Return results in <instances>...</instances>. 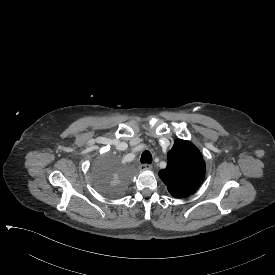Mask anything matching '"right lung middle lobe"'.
Wrapping results in <instances>:
<instances>
[{
	"label": "right lung middle lobe",
	"mask_w": 275,
	"mask_h": 275,
	"mask_svg": "<svg viewBox=\"0 0 275 275\" xmlns=\"http://www.w3.org/2000/svg\"><path fill=\"white\" fill-rule=\"evenodd\" d=\"M93 179L105 197H119L130 182L129 166L118 154L103 153L93 163Z\"/></svg>",
	"instance_id": "1"
}]
</instances>
